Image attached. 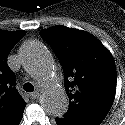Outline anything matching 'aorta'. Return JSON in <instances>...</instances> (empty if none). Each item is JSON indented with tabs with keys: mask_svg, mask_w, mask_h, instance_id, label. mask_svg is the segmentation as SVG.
Here are the masks:
<instances>
[{
	"mask_svg": "<svg viewBox=\"0 0 125 125\" xmlns=\"http://www.w3.org/2000/svg\"><path fill=\"white\" fill-rule=\"evenodd\" d=\"M23 67L42 88L39 101L43 110L62 117L68 109V98L58 81L55 65L47 48L37 41L27 42L20 51Z\"/></svg>",
	"mask_w": 125,
	"mask_h": 125,
	"instance_id": "obj_1",
	"label": "aorta"
}]
</instances>
